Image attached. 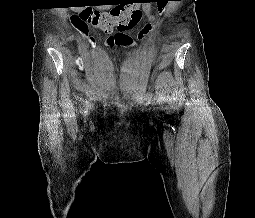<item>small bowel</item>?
Instances as JSON below:
<instances>
[{
    "label": "small bowel",
    "mask_w": 255,
    "mask_h": 218,
    "mask_svg": "<svg viewBox=\"0 0 255 218\" xmlns=\"http://www.w3.org/2000/svg\"><path fill=\"white\" fill-rule=\"evenodd\" d=\"M146 12L148 13V17L153 19V16L150 14L148 7H145Z\"/></svg>",
    "instance_id": "1"
}]
</instances>
